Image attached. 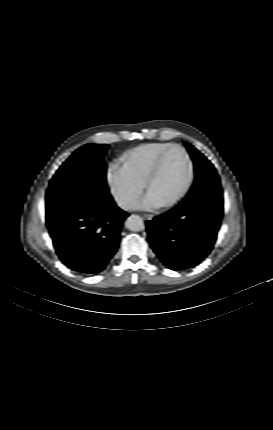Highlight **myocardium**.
Segmentation results:
<instances>
[{
  "instance_id": "f54148a6",
  "label": "myocardium",
  "mask_w": 273,
  "mask_h": 430,
  "mask_svg": "<svg viewBox=\"0 0 273 430\" xmlns=\"http://www.w3.org/2000/svg\"><path fill=\"white\" fill-rule=\"evenodd\" d=\"M179 150L182 152V154L184 155L187 165H188V176L186 179L185 184L183 185V187L181 188V190L168 202L162 204L163 207H172L174 205H176L179 201L182 200V198L187 194V192L189 191L193 179H194V167H193V162L191 160L190 155L188 154V152L186 151V149L184 147H182L181 145L178 144H171L170 146H168L167 148H165L157 157L151 171L149 172L146 181H145V187L147 188V190H149L151 183L153 182V180L159 175L161 168H162V164L164 161L165 156L167 155L168 152H170L171 150Z\"/></svg>"
}]
</instances>
